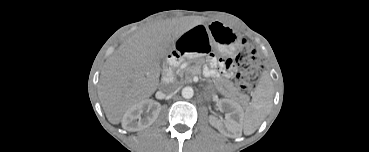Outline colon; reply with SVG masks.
<instances>
[{
    "label": "colon",
    "mask_w": 369,
    "mask_h": 152,
    "mask_svg": "<svg viewBox=\"0 0 369 152\" xmlns=\"http://www.w3.org/2000/svg\"><path fill=\"white\" fill-rule=\"evenodd\" d=\"M217 64L225 70H238L236 81L244 92L253 89L263 73L262 61L258 58L254 47L247 42L242 43L234 59L217 60L212 58L211 65L216 66Z\"/></svg>",
    "instance_id": "obj_1"
}]
</instances>
